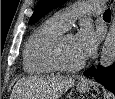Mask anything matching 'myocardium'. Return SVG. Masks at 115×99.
<instances>
[{
    "label": "myocardium",
    "instance_id": "1",
    "mask_svg": "<svg viewBox=\"0 0 115 99\" xmlns=\"http://www.w3.org/2000/svg\"><path fill=\"white\" fill-rule=\"evenodd\" d=\"M70 35H72V34L65 33V32H63L61 35H59L52 43V45L50 47V51H49L50 59L53 62V64L55 65V67L58 70L67 71V72L77 71L85 65L84 60L78 64H68L64 61V59L62 57V53H61V48H62V44H63V41L65 40V38Z\"/></svg>",
    "mask_w": 115,
    "mask_h": 99
}]
</instances>
